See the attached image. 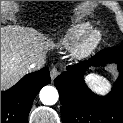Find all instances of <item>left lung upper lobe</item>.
<instances>
[{
    "mask_svg": "<svg viewBox=\"0 0 123 123\" xmlns=\"http://www.w3.org/2000/svg\"><path fill=\"white\" fill-rule=\"evenodd\" d=\"M120 46H123V41H122V43H121V45Z\"/></svg>",
    "mask_w": 123,
    "mask_h": 123,
    "instance_id": "5c2ea615",
    "label": "left lung upper lobe"
}]
</instances>
